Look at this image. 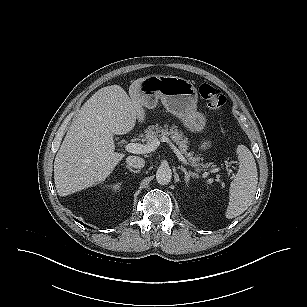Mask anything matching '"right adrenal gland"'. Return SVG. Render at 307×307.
<instances>
[{"label": "right adrenal gland", "mask_w": 307, "mask_h": 307, "mask_svg": "<svg viewBox=\"0 0 307 307\" xmlns=\"http://www.w3.org/2000/svg\"><path fill=\"white\" fill-rule=\"evenodd\" d=\"M126 168L130 171V172H132V173H138L139 172V170H133L131 167H129L128 165L126 166Z\"/></svg>", "instance_id": "obj_1"}]
</instances>
